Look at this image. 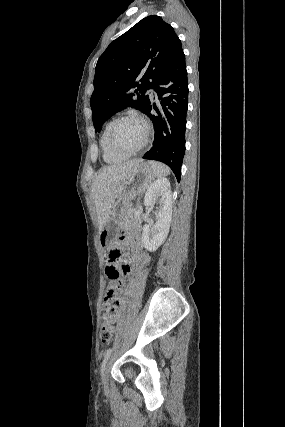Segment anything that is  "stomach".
<instances>
[{
    "label": "stomach",
    "instance_id": "1",
    "mask_svg": "<svg viewBox=\"0 0 285 427\" xmlns=\"http://www.w3.org/2000/svg\"><path fill=\"white\" fill-rule=\"evenodd\" d=\"M154 177L153 170L148 163L140 162L131 169L113 200L109 218L99 234L101 247H109L120 229L121 222L126 218L128 209L131 208V200L143 193Z\"/></svg>",
    "mask_w": 285,
    "mask_h": 427
}]
</instances>
